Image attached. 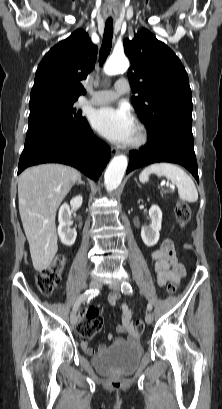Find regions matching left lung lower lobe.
Masks as SVG:
<instances>
[{
  "label": "left lung lower lobe",
  "mask_w": 222,
  "mask_h": 409,
  "mask_svg": "<svg viewBox=\"0 0 222 409\" xmlns=\"http://www.w3.org/2000/svg\"><path fill=\"white\" fill-rule=\"evenodd\" d=\"M155 162L180 164L199 182L191 127L166 123L149 131L146 146L130 154L127 173Z\"/></svg>",
  "instance_id": "0a47b994"
}]
</instances>
